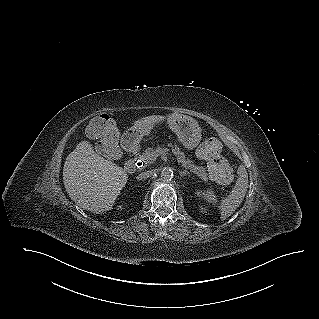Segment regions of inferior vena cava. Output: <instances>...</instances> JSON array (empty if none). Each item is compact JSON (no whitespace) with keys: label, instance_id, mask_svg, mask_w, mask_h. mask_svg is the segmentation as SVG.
<instances>
[{"label":"inferior vena cava","instance_id":"obj_1","mask_svg":"<svg viewBox=\"0 0 319 319\" xmlns=\"http://www.w3.org/2000/svg\"><path fill=\"white\" fill-rule=\"evenodd\" d=\"M153 173H154L153 171H145V172H142L141 174H139L138 178L140 180L146 179V178L151 177L153 175Z\"/></svg>","mask_w":319,"mask_h":319}]
</instances>
